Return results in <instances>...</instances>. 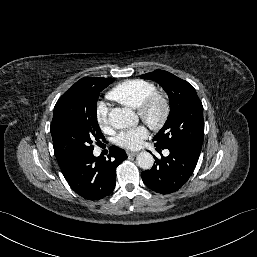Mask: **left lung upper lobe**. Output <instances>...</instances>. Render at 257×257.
<instances>
[{
    "label": "left lung upper lobe",
    "mask_w": 257,
    "mask_h": 257,
    "mask_svg": "<svg viewBox=\"0 0 257 257\" xmlns=\"http://www.w3.org/2000/svg\"><path fill=\"white\" fill-rule=\"evenodd\" d=\"M141 77L156 81L166 91L170 101L168 119L153 138L154 145L162 149L181 147L200 153L204 137L203 106L194 87L159 69Z\"/></svg>",
    "instance_id": "left-lung-upper-lobe-1"
}]
</instances>
